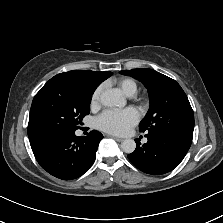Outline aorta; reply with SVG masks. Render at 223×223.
<instances>
[{
  "label": "aorta",
  "instance_id": "1",
  "mask_svg": "<svg viewBox=\"0 0 223 223\" xmlns=\"http://www.w3.org/2000/svg\"><path fill=\"white\" fill-rule=\"evenodd\" d=\"M100 101L103 106H124L125 100L117 89H108L101 93ZM123 152L130 154L135 151L136 143L133 139H125L121 142Z\"/></svg>",
  "mask_w": 223,
  "mask_h": 223
}]
</instances>
